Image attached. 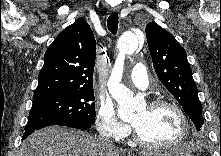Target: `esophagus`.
Segmentation results:
<instances>
[{
	"label": "esophagus",
	"mask_w": 221,
	"mask_h": 156,
	"mask_svg": "<svg viewBox=\"0 0 221 156\" xmlns=\"http://www.w3.org/2000/svg\"><path fill=\"white\" fill-rule=\"evenodd\" d=\"M112 12H117L119 9L117 7L111 9Z\"/></svg>",
	"instance_id": "obj_1"
}]
</instances>
